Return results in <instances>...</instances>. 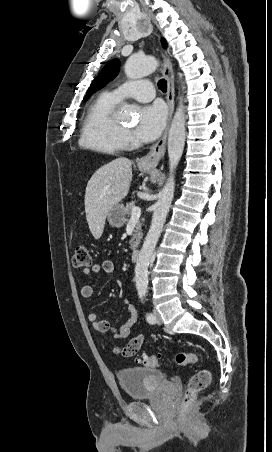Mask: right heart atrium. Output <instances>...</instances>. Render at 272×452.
<instances>
[{
	"instance_id": "1",
	"label": "right heart atrium",
	"mask_w": 272,
	"mask_h": 452,
	"mask_svg": "<svg viewBox=\"0 0 272 452\" xmlns=\"http://www.w3.org/2000/svg\"><path fill=\"white\" fill-rule=\"evenodd\" d=\"M124 138H125L126 143L132 142V136L129 132H124Z\"/></svg>"
}]
</instances>
